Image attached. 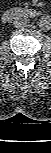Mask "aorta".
I'll list each match as a JSON object with an SVG mask.
<instances>
[{
	"mask_svg": "<svg viewBox=\"0 0 51 153\" xmlns=\"http://www.w3.org/2000/svg\"><path fill=\"white\" fill-rule=\"evenodd\" d=\"M38 26L42 30H49L51 27V17L49 15L41 16V18L38 21Z\"/></svg>",
	"mask_w": 51,
	"mask_h": 153,
	"instance_id": "aorta-1",
	"label": "aorta"
}]
</instances>
